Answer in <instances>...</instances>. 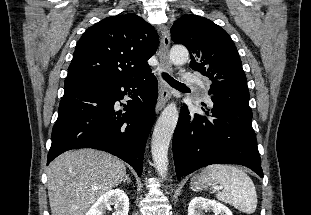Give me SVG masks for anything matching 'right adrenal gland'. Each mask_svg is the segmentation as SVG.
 <instances>
[{
    "label": "right adrenal gland",
    "mask_w": 311,
    "mask_h": 215,
    "mask_svg": "<svg viewBox=\"0 0 311 215\" xmlns=\"http://www.w3.org/2000/svg\"><path fill=\"white\" fill-rule=\"evenodd\" d=\"M123 182H124V183H125V182L131 183V179L129 178L128 175L125 176Z\"/></svg>",
    "instance_id": "right-adrenal-gland-1"
}]
</instances>
